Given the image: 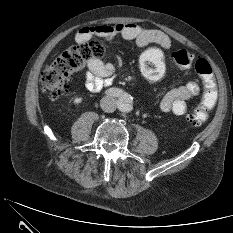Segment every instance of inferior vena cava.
<instances>
[{
  "instance_id": "inferior-vena-cava-1",
  "label": "inferior vena cava",
  "mask_w": 233,
  "mask_h": 233,
  "mask_svg": "<svg viewBox=\"0 0 233 233\" xmlns=\"http://www.w3.org/2000/svg\"><path fill=\"white\" fill-rule=\"evenodd\" d=\"M100 105L103 111L112 113L116 110L117 101L113 97H104L102 98Z\"/></svg>"
}]
</instances>
